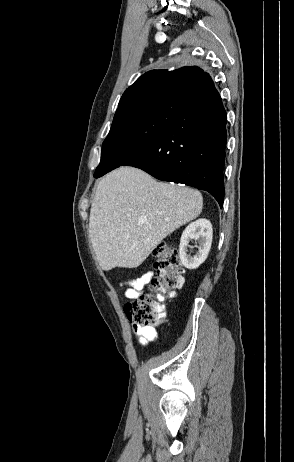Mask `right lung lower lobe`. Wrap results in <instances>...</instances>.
I'll return each mask as SVG.
<instances>
[{
    "mask_svg": "<svg viewBox=\"0 0 294 462\" xmlns=\"http://www.w3.org/2000/svg\"><path fill=\"white\" fill-rule=\"evenodd\" d=\"M184 97L187 103L174 120L123 165L160 180L206 190L222 207L226 111L214 84L203 93Z\"/></svg>",
    "mask_w": 294,
    "mask_h": 462,
    "instance_id": "right-lung-lower-lobe-1",
    "label": "right lung lower lobe"
}]
</instances>
